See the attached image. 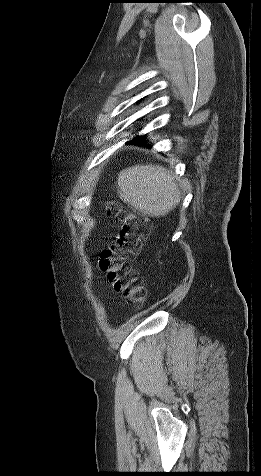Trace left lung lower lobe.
<instances>
[{"label": "left lung lower lobe", "mask_w": 261, "mask_h": 476, "mask_svg": "<svg viewBox=\"0 0 261 476\" xmlns=\"http://www.w3.org/2000/svg\"><path fill=\"white\" fill-rule=\"evenodd\" d=\"M132 142H135L136 144H141V145H146L147 146V141L145 136H138L134 138Z\"/></svg>", "instance_id": "1"}]
</instances>
